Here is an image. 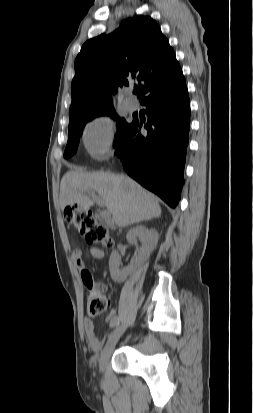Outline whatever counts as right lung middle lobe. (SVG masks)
I'll list each match as a JSON object with an SVG mask.
<instances>
[{
  "label": "right lung middle lobe",
  "mask_w": 253,
  "mask_h": 413,
  "mask_svg": "<svg viewBox=\"0 0 253 413\" xmlns=\"http://www.w3.org/2000/svg\"><path fill=\"white\" fill-rule=\"evenodd\" d=\"M100 115H110L113 119L117 120V134L114 141V146L116 147L122 141L131 124L127 123L124 118H119L116 115L113 106L104 107L70 120L68 128V142L64 152L65 158H69L76 153L79 144V137L83 133L85 124L94 117Z\"/></svg>",
  "instance_id": "obj_1"
}]
</instances>
